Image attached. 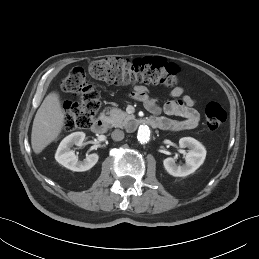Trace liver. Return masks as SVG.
<instances>
[{
    "label": "liver",
    "instance_id": "liver-1",
    "mask_svg": "<svg viewBox=\"0 0 259 259\" xmlns=\"http://www.w3.org/2000/svg\"><path fill=\"white\" fill-rule=\"evenodd\" d=\"M65 125V112L61 106L59 94L49 93L36 112L31 145L34 153H41L61 133Z\"/></svg>",
    "mask_w": 259,
    "mask_h": 259
}]
</instances>
